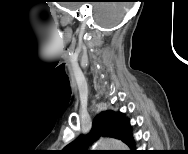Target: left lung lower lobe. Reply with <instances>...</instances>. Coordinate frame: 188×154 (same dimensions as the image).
<instances>
[{
    "label": "left lung lower lobe",
    "mask_w": 188,
    "mask_h": 154,
    "mask_svg": "<svg viewBox=\"0 0 188 154\" xmlns=\"http://www.w3.org/2000/svg\"><path fill=\"white\" fill-rule=\"evenodd\" d=\"M123 142L125 144H127L132 150L134 149V139H133V136H132L130 124L128 125V128H127L125 137L123 139Z\"/></svg>",
    "instance_id": "obj_1"
}]
</instances>
